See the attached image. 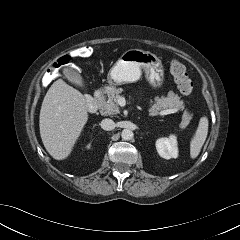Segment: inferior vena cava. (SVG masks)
Here are the masks:
<instances>
[{"label":"inferior vena cava","mask_w":240,"mask_h":240,"mask_svg":"<svg viewBox=\"0 0 240 240\" xmlns=\"http://www.w3.org/2000/svg\"><path fill=\"white\" fill-rule=\"evenodd\" d=\"M101 128L106 131L113 130L115 128V122L112 119L106 118L101 121Z\"/></svg>","instance_id":"inferior-vena-cava-1"}]
</instances>
